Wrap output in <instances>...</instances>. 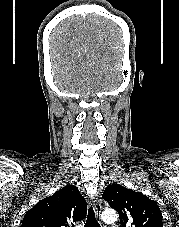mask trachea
Returning <instances> with one entry per match:
<instances>
[{
    "label": "trachea",
    "instance_id": "obj_1",
    "mask_svg": "<svg viewBox=\"0 0 179 227\" xmlns=\"http://www.w3.org/2000/svg\"><path fill=\"white\" fill-rule=\"evenodd\" d=\"M84 227H100L92 206L88 209V216Z\"/></svg>",
    "mask_w": 179,
    "mask_h": 227
}]
</instances>
